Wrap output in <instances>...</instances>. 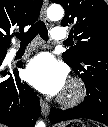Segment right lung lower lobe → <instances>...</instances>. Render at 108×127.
<instances>
[{
	"label": "right lung lower lobe",
	"instance_id": "98d812e1",
	"mask_svg": "<svg viewBox=\"0 0 108 127\" xmlns=\"http://www.w3.org/2000/svg\"><path fill=\"white\" fill-rule=\"evenodd\" d=\"M5 55L6 52L0 55V66ZM40 114L39 99L21 81L18 70L0 68V123L9 127H33Z\"/></svg>",
	"mask_w": 108,
	"mask_h": 127
}]
</instances>
